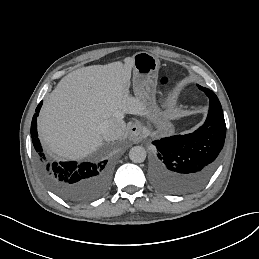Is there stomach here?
Instances as JSON below:
<instances>
[{"instance_id":"0dacf381","label":"stomach","mask_w":259,"mask_h":259,"mask_svg":"<svg viewBox=\"0 0 259 259\" xmlns=\"http://www.w3.org/2000/svg\"><path fill=\"white\" fill-rule=\"evenodd\" d=\"M133 72L137 75L152 76L158 73L159 59L148 52H137L133 55Z\"/></svg>"}]
</instances>
